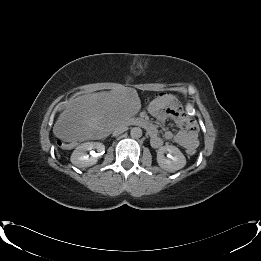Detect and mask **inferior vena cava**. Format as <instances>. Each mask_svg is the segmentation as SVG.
<instances>
[{
	"label": "inferior vena cava",
	"mask_w": 261,
	"mask_h": 261,
	"mask_svg": "<svg viewBox=\"0 0 261 261\" xmlns=\"http://www.w3.org/2000/svg\"><path fill=\"white\" fill-rule=\"evenodd\" d=\"M128 128L125 125H120L118 127H116L113 131V135L117 136L123 132H125Z\"/></svg>",
	"instance_id": "obj_1"
}]
</instances>
